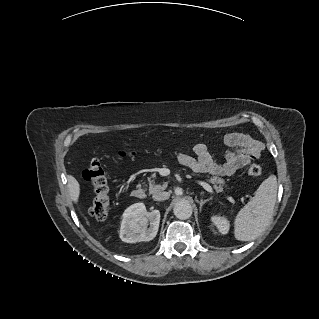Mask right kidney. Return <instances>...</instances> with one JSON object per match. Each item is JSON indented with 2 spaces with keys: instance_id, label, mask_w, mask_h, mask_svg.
I'll return each instance as SVG.
<instances>
[{
  "instance_id": "right-kidney-1",
  "label": "right kidney",
  "mask_w": 319,
  "mask_h": 319,
  "mask_svg": "<svg viewBox=\"0 0 319 319\" xmlns=\"http://www.w3.org/2000/svg\"><path fill=\"white\" fill-rule=\"evenodd\" d=\"M150 223V227H148ZM160 223V211L146 210L143 203H135L123 213L120 238L124 242L135 243L155 238ZM148 227V228H147Z\"/></svg>"
}]
</instances>
